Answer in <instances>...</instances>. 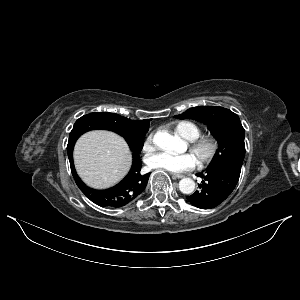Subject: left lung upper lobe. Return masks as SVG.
<instances>
[{
	"label": "left lung upper lobe",
	"mask_w": 300,
	"mask_h": 300,
	"mask_svg": "<svg viewBox=\"0 0 300 300\" xmlns=\"http://www.w3.org/2000/svg\"><path fill=\"white\" fill-rule=\"evenodd\" d=\"M175 117L204 123L218 140L219 147L207 169L225 162L242 166L245 156V130L238 115L223 107L199 106Z\"/></svg>",
	"instance_id": "obj_1"
}]
</instances>
